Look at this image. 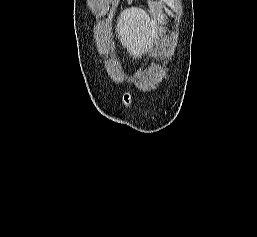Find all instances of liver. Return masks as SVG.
Here are the masks:
<instances>
[{
  "label": "liver",
  "mask_w": 257,
  "mask_h": 237,
  "mask_svg": "<svg viewBox=\"0 0 257 237\" xmlns=\"http://www.w3.org/2000/svg\"><path fill=\"white\" fill-rule=\"evenodd\" d=\"M157 23L142 9L132 7L121 12L117 32L130 55L140 57L157 38Z\"/></svg>",
  "instance_id": "obj_1"
}]
</instances>
